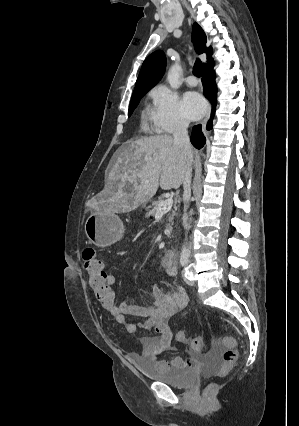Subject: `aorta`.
Listing matches in <instances>:
<instances>
[{
  "label": "aorta",
  "mask_w": 299,
  "mask_h": 426,
  "mask_svg": "<svg viewBox=\"0 0 299 426\" xmlns=\"http://www.w3.org/2000/svg\"><path fill=\"white\" fill-rule=\"evenodd\" d=\"M181 71V66L178 64H173L167 74V81L171 88L177 89L180 87L179 75ZM190 251L187 246H183L180 259L181 261L187 262L189 260Z\"/></svg>",
  "instance_id": "aorta-1"
}]
</instances>
